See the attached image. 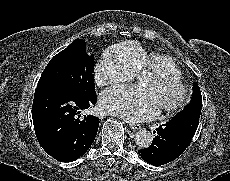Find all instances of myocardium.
Returning <instances> with one entry per match:
<instances>
[{"label":"myocardium","instance_id":"f54148a6","mask_svg":"<svg viewBox=\"0 0 230 181\" xmlns=\"http://www.w3.org/2000/svg\"><path fill=\"white\" fill-rule=\"evenodd\" d=\"M155 80H166L172 82L178 89V95L173 101L155 108L156 110L170 112L178 109L184 104L187 98V87L181 80V77H178L169 71H152L141 78V84L144 86V82H152Z\"/></svg>","mask_w":230,"mask_h":181}]
</instances>
